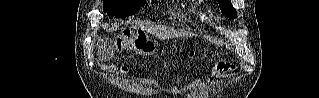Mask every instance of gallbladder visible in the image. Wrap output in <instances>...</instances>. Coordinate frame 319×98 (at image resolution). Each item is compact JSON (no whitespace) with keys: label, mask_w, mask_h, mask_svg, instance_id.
<instances>
[{"label":"gallbladder","mask_w":319,"mask_h":98,"mask_svg":"<svg viewBox=\"0 0 319 98\" xmlns=\"http://www.w3.org/2000/svg\"><path fill=\"white\" fill-rule=\"evenodd\" d=\"M99 54L102 58H104L105 60H108L113 56V50L111 49L109 51H104L102 48H100Z\"/></svg>","instance_id":"1"}]
</instances>
